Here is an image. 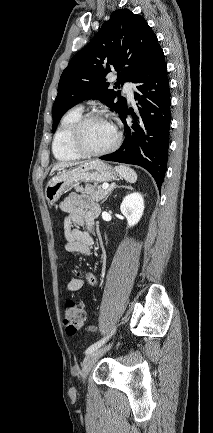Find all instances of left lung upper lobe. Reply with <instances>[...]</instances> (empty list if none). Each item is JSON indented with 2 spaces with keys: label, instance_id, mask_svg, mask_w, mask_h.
Instances as JSON below:
<instances>
[{
  "label": "left lung upper lobe",
  "instance_id": "obj_1",
  "mask_svg": "<svg viewBox=\"0 0 213 433\" xmlns=\"http://www.w3.org/2000/svg\"><path fill=\"white\" fill-rule=\"evenodd\" d=\"M159 47L155 33L142 16L128 9L114 11L63 71L52 109V132L64 113L84 100L98 99L122 115L126 99L109 89L110 84L105 83L107 73L117 72L116 86L132 82Z\"/></svg>",
  "mask_w": 213,
  "mask_h": 433
}]
</instances>
